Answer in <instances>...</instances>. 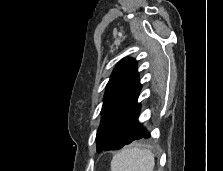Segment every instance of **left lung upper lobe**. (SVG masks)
Returning <instances> with one entry per match:
<instances>
[{"mask_svg":"<svg viewBox=\"0 0 223 171\" xmlns=\"http://www.w3.org/2000/svg\"><path fill=\"white\" fill-rule=\"evenodd\" d=\"M140 90L136 60L132 58L121 60L113 70L106 86L101 123L96 136L97 150L105 144L137 102Z\"/></svg>","mask_w":223,"mask_h":171,"instance_id":"obj_1","label":"left lung upper lobe"}]
</instances>
